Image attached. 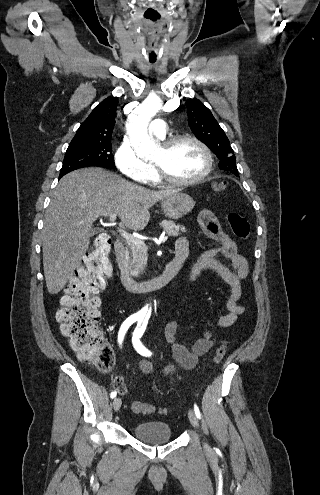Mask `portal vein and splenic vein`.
Returning a JSON list of instances; mask_svg holds the SVG:
<instances>
[{
    "label": "portal vein and splenic vein",
    "mask_w": 320,
    "mask_h": 495,
    "mask_svg": "<svg viewBox=\"0 0 320 495\" xmlns=\"http://www.w3.org/2000/svg\"><path fill=\"white\" fill-rule=\"evenodd\" d=\"M116 216H117L116 214H112L109 217V221H110L111 225H113V226L116 225V223H115ZM118 232L120 233L122 238L125 239V241L127 242L128 245H145V243L143 241H141L140 239L134 237L133 235L127 233L126 231H124L120 228H118ZM167 239H168V236H165L161 239V241L164 242Z\"/></svg>",
    "instance_id": "obj_1"
}]
</instances>
